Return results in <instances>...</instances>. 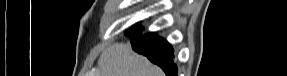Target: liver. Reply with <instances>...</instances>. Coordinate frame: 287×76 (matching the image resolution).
Wrapping results in <instances>:
<instances>
[{"instance_id": "6515ba94", "label": "liver", "mask_w": 287, "mask_h": 76, "mask_svg": "<svg viewBox=\"0 0 287 76\" xmlns=\"http://www.w3.org/2000/svg\"><path fill=\"white\" fill-rule=\"evenodd\" d=\"M98 67L100 76H164L159 67L124 43H114L105 49L98 59Z\"/></svg>"}]
</instances>
